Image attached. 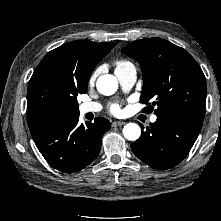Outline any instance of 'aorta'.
<instances>
[{"label": "aorta", "mask_w": 221, "mask_h": 221, "mask_svg": "<svg viewBox=\"0 0 221 221\" xmlns=\"http://www.w3.org/2000/svg\"><path fill=\"white\" fill-rule=\"evenodd\" d=\"M97 90L106 96L113 95L118 89V82L111 74L102 75L97 79ZM123 135L127 140L136 141L141 135V128L136 123H128L123 128Z\"/></svg>", "instance_id": "aorta-1"}]
</instances>
